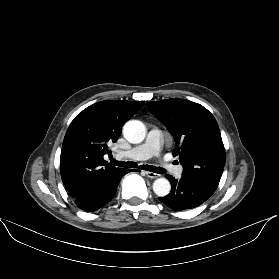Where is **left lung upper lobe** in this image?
Listing matches in <instances>:
<instances>
[{
  "label": "left lung upper lobe",
  "mask_w": 279,
  "mask_h": 279,
  "mask_svg": "<svg viewBox=\"0 0 279 279\" xmlns=\"http://www.w3.org/2000/svg\"><path fill=\"white\" fill-rule=\"evenodd\" d=\"M147 108L175 139L182 176L215 191L225 165V149L218 124L202 105L184 99L147 102Z\"/></svg>",
  "instance_id": "obj_1"
}]
</instances>
